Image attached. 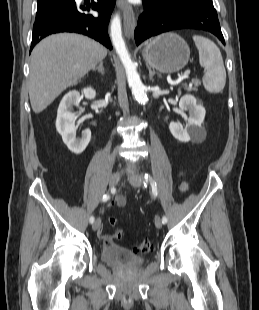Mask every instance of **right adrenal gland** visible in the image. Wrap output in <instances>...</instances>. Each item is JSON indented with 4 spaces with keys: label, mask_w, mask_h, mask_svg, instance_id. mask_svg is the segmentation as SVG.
Returning <instances> with one entry per match:
<instances>
[{
    "label": "right adrenal gland",
    "mask_w": 259,
    "mask_h": 310,
    "mask_svg": "<svg viewBox=\"0 0 259 310\" xmlns=\"http://www.w3.org/2000/svg\"><path fill=\"white\" fill-rule=\"evenodd\" d=\"M93 71H98V72H100L102 75H104L105 74V71H104V67H103V61H101L100 63H99V65L97 66V67H95V68H93L92 69Z\"/></svg>",
    "instance_id": "right-adrenal-gland-1"
}]
</instances>
